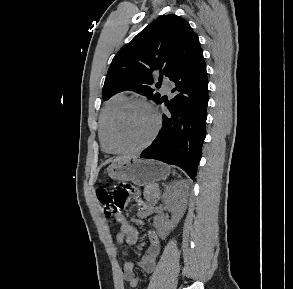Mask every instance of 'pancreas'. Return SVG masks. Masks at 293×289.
I'll use <instances>...</instances> for the list:
<instances>
[{"label":"pancreas","instance_id":"obj_1","mask_svg":"<svg viewBox=\"0 0 293 289\" xmlns=\"http://www.w3.org/2000/svg\"><path fill=\"white\" fill-rule=\"evenodd\" d=\"M159 189L158 185L150 184L146 185L144 188V198L150 202L157 203L159 200Z\"/></svg>","mask_w":293,"mask_h":289}]
</instances>
